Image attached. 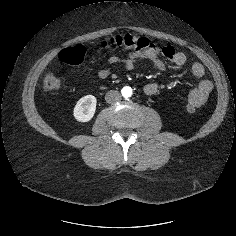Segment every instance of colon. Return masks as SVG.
I'll use <instances>...</instances> for the list:
<instances>
[{
    "instance_id": "1",
    "label": "colon",
    "mask_w": 236,
    "mask_h": 236,
    "mask_svg": "<svg viewBox=\"0 0 236 236\" xmlns=\"http://www.w3.org/2000/svg\"><path fill=\"white\" fill-rule=\"evenodd\" d=\"M152 43L144 37H138L130 34L111 36L101 41L94 50H108L110 48H119L132 52H142L149 50ZM90 56V50L83 45H75L67 47L59 53V60L68 65H79ZM43 87L48 92H54L60 89L61 81L53 73H49L44 77ZM188 110L193 112L195 109L188 105Z\"/></svg>"
}]
</instances>
